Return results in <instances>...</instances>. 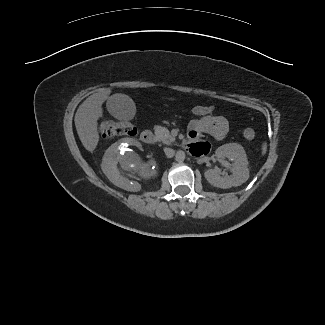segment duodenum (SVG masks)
I'll return each instance as SVG.
<instances>
[{
  "instance_id": "duodenum-1",
  "label": "duodenum",
  "mask_w": 325,
  "mask_h": 325,
  "mask_svg": "<svg viewBox=\"0 0 325 325\" xmlns=\"http://www.w3.org/2000/svg\"><path fill=\"white\" fill-rule=\"evenodd\" d=\"M140 140L145 144H152L154 141V135L150 130H144L140 134Z\"/></svg>"
}]
</instances>
